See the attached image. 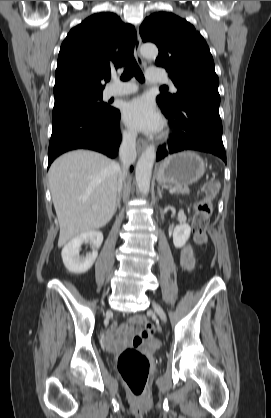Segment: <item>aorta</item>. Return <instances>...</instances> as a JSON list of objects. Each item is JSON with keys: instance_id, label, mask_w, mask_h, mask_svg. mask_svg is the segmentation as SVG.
<instances>
[{"instance_id": "1", "label": "aorta", "mask_w": 271, "mask_h": 418, "mask_svg": "<svg viewBox=\"0 0 271 418\" xmlns=\"http://www.w3.org/2000/svg\"><path fill=\"white\" fill-rule=\"evenodd\" d=\"M141 54L145 58H156L158 48L154 44H144L141 46ZM156 158L154 145H149L138 159L136 165V183L141 194L147 195L150 189V181L153 164Z\"/></svg>"}]
</instances>
